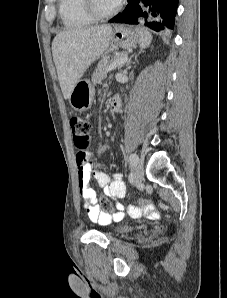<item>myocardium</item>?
Returning a JSON list of instances; mask_svg holds the SVG:
<instances>
[{
  "label": "myocardium",
  "instance_id": "1",
  "mask_svg": "<svg viewBox=\"0 0 227 298\" xmlns=\"http://www.w3.org/2000/svg\"><path fill=\"white\" fill-rule=\"evenodd\" d=\"M83 5L85 11L93 20H106L118 13L121 7V1L118 2L112 10L106 13H101L96 9L94 0H83Z\"/></svg>",
  "mask_w": 227,
  "mask_h": 298
}]
</instances>
